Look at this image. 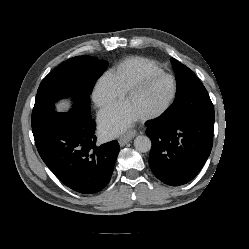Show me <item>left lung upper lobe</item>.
Wrapping results in <instances>:
<instances>
[{
    "instance_id": "5c2ea615",
    "label": "left lung upper lobe",
    "mask_w": 249,
    "mask_h": 249,
    "mask_svg": "<svg viewBox=\"0 0 249 249\" xmlns=\"http://www.w3.org/2000/svg\"><path fill=\"white\" fill-rule=\"evenodd\" d=\"M176 73L177 91L173 104L160 117L167 122H180L192 117L214 114L207 90L195 73L171 58Z\"/></svg>"
}]
</instances>
